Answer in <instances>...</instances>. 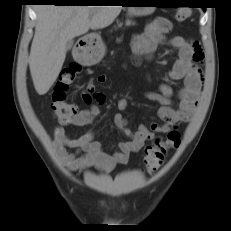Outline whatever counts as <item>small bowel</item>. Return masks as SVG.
Here are the masks:
<instances>
[{"mask_svg":"<svg viewBox=\"0 0 231 231\" xmlns=\"http://www.w3.org/2000/svg\"><path fill=\"white\" fill-rule=\"evenodd\" d=\"M172 25L165 18H157L151 21L146 29L134 36L132 50L137 58H149L157 49V46L165 40ZM179 51V57L169 75L174 80H183V87L179 91V102L174 106L171 101L172 89L163 84L160 87L161 94L147 93L152 101L161 104L158 115L163 121L162 125L151 124L150 129L140 126L136 131L128 127L127 119L123 111L128 106L126 98L117 100L118 113L115 114V125L127 136L129 140L119 143V151L109 154L102 148L100 141L95 139L93 130L85 134L71 138L66 135L63 127L57 126L53 130V147L61 163L71 171L85 170L96 167L109 172L117 164H126L132 153L138 152L145 141L150 140L156 133H167L181 123L189 121L194 115L202 86L201 63L204 53L197 41H190L182 36L173 37L169 42ZM97 80H105L104 75H99ZM83 100L90 107L79 111L67 124L84 126L91 124L100 114L99 105L104 102L105 96L95 90L92 81H88L83 88Z\"/></svg>","mask_w":231,"mask_h":231,"instance_id":"obj_1","label":"small bowel"}]
</instances>
